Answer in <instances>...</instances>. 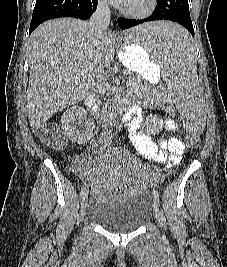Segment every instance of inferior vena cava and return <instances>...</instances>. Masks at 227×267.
<instances>
[{
  "label": "inferior vena cava",
  "mask_w": 227,
  "mask_h": 267,
  "mask_svg": "<svg viewBox=\"0 0 227 267\" xmlns=\"http://www.w3.org/2000/svg\"><path fill=\"white\" fill-rule=\"evenodd\" d=\"M110 8L105 0H99L96 11L91 16L88 23L89 33L97 41H102L110 24ZM97 94L104 96L108 90L106 83L105 70L103 67L99 68L95 73L91 84Z\"/></svg>",
  "instance_id": "602c4592"
}]
</instances>
